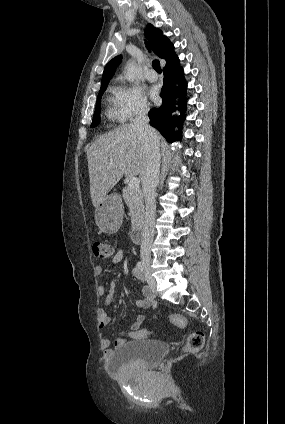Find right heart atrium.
Listing matches in <instances>:
<instances>
[{
	"label": "right heart atrium",
	"instance_id": "right-heart-atrium-1",
	"mask_svg": "<svg viewBox=\"0 0 285 424\" xmlns=\"http://www.w3.org/2000/svg\"><path fill=\"white\" fill-rule=\"evenodd\" d=\"M117 102L124 121L143 116L150 109L142 89L131 84L122 83L117 87Z\"/></svg>",
	"mask_w": 285,
	"mask_h": 424
}]
</instances>
